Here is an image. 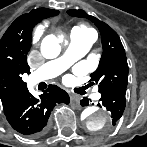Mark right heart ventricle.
Wrapping results in <instances>:
<instances>
[{
  "mask_svg": "<svg viewBox=\"0 0 147 147\" xmlns=\"http://www.w3.org/2000/svg\"><path fill=\"white\" fill-rule=\"evenodd\" d=\"M73 30H74V31L81 32V33H85V34L94 35L93 32H92L88 27H86L85 25H80V26H78V27H75ZM94 36H95V35H94Z\"/></svg>",
  "mask_w": 147,
  "mask_h": 147,
  "instance_id": "e07e8e85",
  "label": "right heart ventricle"
}]
</instances>
